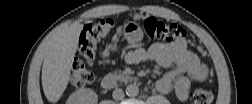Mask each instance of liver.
<instances>
[{"label":"liver","instance_id":"6515ba94","mask_svg":"<svg viewBox=\"0 0 252 104\" xmlns=\"http://www.w3.org/2000/svg\"><path fill=\"white\" fill-rule=\"evenodd\" d=\"M91 22V21H88ZM83 24L74 22L56 31L46 50L42 66V87L49 102H57L71 74Z\"/></svg>","mask_w":252,"mask_h":104}]
</instances>
